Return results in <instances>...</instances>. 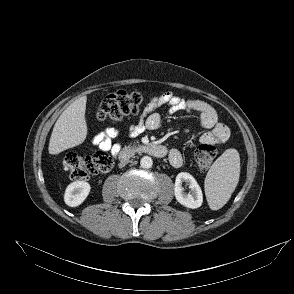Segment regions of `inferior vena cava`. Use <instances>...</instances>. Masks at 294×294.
Returning a JSON list of instances; mask_svg holds the SVG:
<instances>
[{
	"mask_svg": "<svg viewBox=\"0 0 294 294\" xmlns=\"http://www.w3.org/2000/svg\"><path fill=\"white\" fill-rule=\"evenodd\" d=\"M127 162V159H121L120 166H124Z\"/></svg>",
	"mask_w": 294,
	"mask_h": 294,
	"instance_id": "602c4592",
	"label": "inferior vena cava"
}]
</instances>
